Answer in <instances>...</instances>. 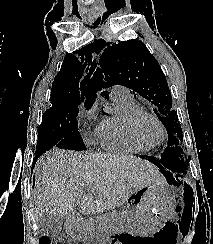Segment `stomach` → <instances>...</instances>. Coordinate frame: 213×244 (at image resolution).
Segmentation results:
<instances>
[{
    "instance_id": "0dacf381",
    "label": "stomach",
    "mask_w": 213,
    "mask_h": 244,
    "mask_svg": "<svg viewBox=\"0 0 213 244\" xmlns=\"http://www.w3.org/2000/svg\"><path fill=\"white\" fill-rule=\"evenodd\" d=\"M137 203L132 215L136 231L148 230L166 222L174 211V198L163 184H150L134 193ZM89 221H68L69 231L76 239L85 240L93 233Z\"/></svg>"
}]
</instances>
